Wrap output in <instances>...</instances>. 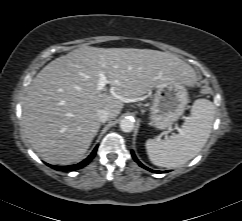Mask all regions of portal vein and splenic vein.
Instances as JSON below:
<instances>
[{"label":"portal vein and splenic vein","instance_id":"portal-vein-and-splenic-vein-1","mask_svg":"<svg viewBox=\"0 0 242 221\" xmlns=\"http://www.w3.org/2000/svg\"><path fill=\"white\" fill-rule=\"evenodd\" d=\"M109 83H110V81L106 78V76L102 72H100L99 81L97 83V90L102 91L104 89V87Z\"/></svg>","mask_w":242,"mask_h":221}]
</instances>
